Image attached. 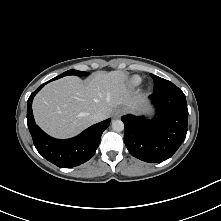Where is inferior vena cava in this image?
Masks as SVG:
<instances>
[{"label": "inferior vena cava", "mask_w": 221, "mask_h": 221, "mask_svg": "<svg viewBox=\"0 0 221 221\" xmlns=\"http://www.w3.org/2000/svg\"><path fill=\"white\" fill-rule=\"evenodd\" d=\"M92 119L95 121V122H99V121H102L105 119V115L98 111V112H95L93 115H92Z\"/></svg>", "instance_id": "1"}]
</instances>
